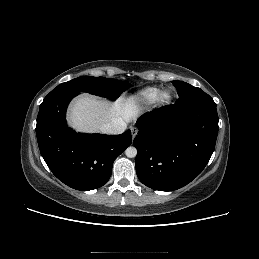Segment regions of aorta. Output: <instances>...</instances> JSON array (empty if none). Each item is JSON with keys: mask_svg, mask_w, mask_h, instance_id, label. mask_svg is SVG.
I'll list each match as a JSON object with an SVG mask.
<instances>
[{"mask_svg": "<svg viewBox=\"0 0 259 259\" xmlns=\"http://www.w3.org/2000/svg\"><path fill=\"white\" fill-rule=\"evenodd\" d=\"M125 154L127 157L129 158H134L136 155H137V150L135 147H128L126 150H125Z\"/></svg>", "mask_w": 259, "mask_h": 259, "instance_id": "762f6f07", "label": "aorta"}]
</instances>
